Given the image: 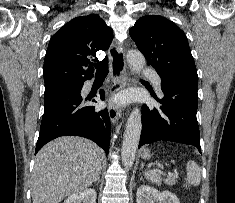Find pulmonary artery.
<instances>
[{"label": "pulmonary artery", "mask_w": 235, "mask_h": 203, "mask_svg": "<svg viewBox=\"0 0 235 203\" xmlns=\"http://www.w3.org/2000/svg\"><path fill=\"white\" fill-rule=\"evenodd\" d=\"M146 75L151 79L152 83L154 84L155 88L161 92V79L159 75L153 71H146Z\"/></svg>", "instance_id": "1"}]
</instances>
